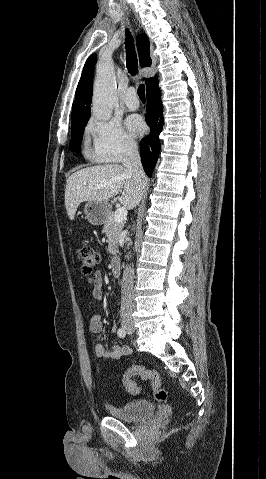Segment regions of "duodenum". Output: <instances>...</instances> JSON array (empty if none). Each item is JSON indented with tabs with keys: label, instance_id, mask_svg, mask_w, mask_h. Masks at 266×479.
I'll return each instance as SVG.
<instances>
[{
	"label": "duodenum",
	"instance_id": "1",
	"mask_svg": "<svg viewBox=\"0 0 266 479\" xmlns=\"http://www.w3.org/2000/svg\"><path fill=\"white\" fill-rule=\"evenodd\" d=\"M110 270L114 277H118L120 274V258L113 257L111 259Z\"/></svg>",
	"mask_w": 266,
	"mask_h": 479
}]
</instances>
